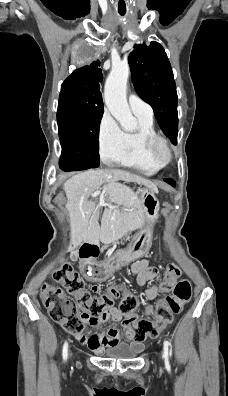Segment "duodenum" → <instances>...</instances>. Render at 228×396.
<instances>
[{"mask_svg": "<svg viewBox=\"0 0 228 396\" xmlns=\"http://www.w3.org/2000/svg\"><path fill=\"white\" fill-rule=\"evenodd\" d=\"M81 251H84L86 254H91L93 252H98V247L93 241L88 240L83 244Z\"/></svg>", "mask_w": 228, "mask_h": 396, "instance_id": "410a0bca", "label": "duodenum"}]
</instances>
